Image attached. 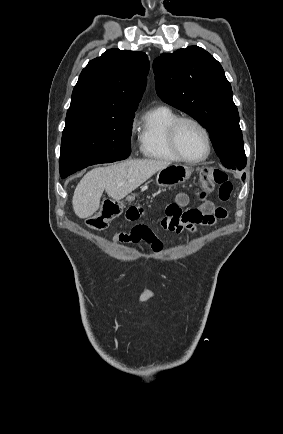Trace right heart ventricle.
Segmentation results:
<instances>
[{"instance_id":"right-heart-ventricle-1","label":"right heart ventricle","mask_w":283,"mask_h":434,"mask_svg":"<svg viewBox=\"0 0 283 434\" xmlns=\"http://www.w3.org/2000/svg\"><path fill=\"white\" fill-rule=\"evenodd\" d=\"M179 116L171 108L159 106L148 111L140 125V151L153 160L178 162L168 142V129Z\"/></svg>"}]
</instances>
